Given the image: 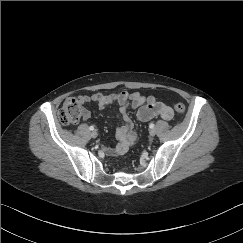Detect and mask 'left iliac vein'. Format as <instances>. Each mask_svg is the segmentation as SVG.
I'll return each instance as SVG.
<instances>
[{"label": "left iliac vein", "instance_id": "1", "mask_svg": "<svg viewBox=\"0 0 243 243\" xmlns=\"http://www.w3.org/2000/svg\"><path fill=\"white\" fill-rule=\"evenodd\" d=\"M149 134H150V136H155L156 131H155V130H153V129H150Z\"/></svg>", "mask_w": 243, "mask_h": 243}]
</instances>
